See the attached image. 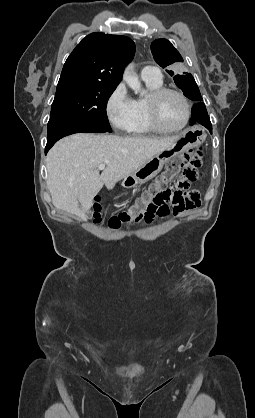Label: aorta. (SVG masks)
<instances>
[{"instance_id": "762f6f07", "label": "aorta", "mask_w": 255, "mask_h": 418, "mask_svg": "<svg viewBox=\"0 0 255 418\" xmlns=\"http://www.w3.org/2000/svg\"><path fill=\"white\" fill-rule=\"evenodd\" d=\"M123 80L136 93L139 92L141 95H144L145 91L141 88L139 79L133 71L132 64H129L125 67V70H124V73H123Z\"/></svg>"}]
</instances>
